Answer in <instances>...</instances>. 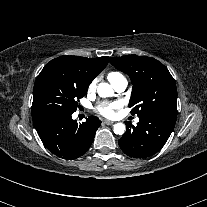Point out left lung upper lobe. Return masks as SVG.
Returning <instances> with one entry per match:
<instances>
[{
	"instance_id": "obj_1",
	"label": "left lung upper lobe",
	"mask_w": 207,
	"mask_h": 207,
	"mask_svg": "<svg viewBox=\"0 0 207 207\" xmlns=\"http://www.w3.org/2000/svg\"><path fill=\"white\" fill-rule=\"evenodd\" d=\"M111 64L129 75L133 92L129 103L132 114L177 116L176 83L168 69L147 56L129 55L110 58Z\"/></svg>"
}]
</instances>
